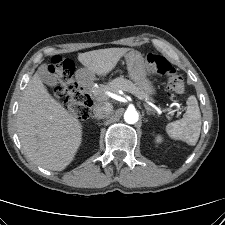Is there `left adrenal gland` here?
Wrapping results in <instances>:
<instances>
[{
    "instance_id": "obj_1",
    "label": "left adrenal gland",
    "mask_w": 225,
    "mask_h": 225,
    "mask_svg": "<svg viewBox=\"0 0 225 225\" xmlns=\"http://www.w3.org/2000/svg\"><path fill=\"white\" fill-rule=\"evenodd\" d=\"M144 107H145V109L147 110V113L148 114H153V115H155V111L152 109V108H150L149 106H147L146 104H144Z\"/></svg>"
}]
</instances>
